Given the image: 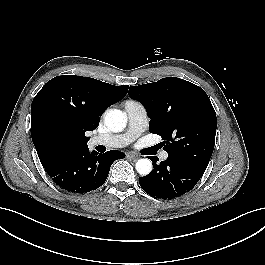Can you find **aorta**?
Listing matches in <instances>:
<instances>
[{"instance_id": "1", "label": "aorta", "mask_w": 265, "mask_h": 265, "mask_svg": "<svg viewBox=\"0 0 265 265\" xmlns=\"http://www.w3.org/2000/svg\"><path fill=\"white\" fill-rule=\"evenodd\" d=\"M105 125L113 132H121L127 123L126 115L117 109L110 110L104 117ZM136 171L141 175H148L152 170V163L149 159H139L135 165Z\"/></svg>"}]
</instances>
